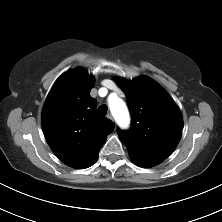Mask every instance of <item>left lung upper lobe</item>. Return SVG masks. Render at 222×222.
I'll list each match as a JSON object with an SVG mask.
<instances>
[{
	"instance_id": "left-lung-upper-lobe-1",
	"label": "left lung upper lobe",
	"mask_w": 222,
	"mask_h": 222,
	"mask_svg": "<svg viewBox=\"0 0 222 222\" xmlns=\"http://www.w3.org/2000/svg\"><path fill=\"white\" fill-rule=\"evenodd\" d=\"M132 113L131 129L117 133L134 163L152 167L176 148L182 134L183 117L179 107L154 80L142 76L132 81L117 78Z\"/></svg>"
}]
</instances>
